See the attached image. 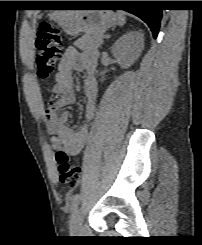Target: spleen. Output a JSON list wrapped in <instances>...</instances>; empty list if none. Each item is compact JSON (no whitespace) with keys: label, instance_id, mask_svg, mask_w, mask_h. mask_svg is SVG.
<instances>
[{"label":"spleen","instance_id":"spleen-1","mask_svg":"<svg viewBox=\"0 0 202 245\" xmlns=\"http://www.w3.org/2000/svg\"><path fill=\"white\" fill-rule=\"evenodd\" d=\"M117 18H118V23L120 26H123L126 22L125 16L123 15L122 12L117 13Z\"/></svg>","mask_w":202,"mask_h":245}]
</instances>
